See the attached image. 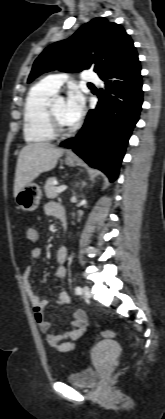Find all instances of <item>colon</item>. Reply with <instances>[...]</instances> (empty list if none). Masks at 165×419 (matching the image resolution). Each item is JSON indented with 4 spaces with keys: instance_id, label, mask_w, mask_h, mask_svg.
<instances>
[{
    "instance_id": "1",
    "label": "colon",
    "mask_w": 165,
    "mask_h": 419,
    "mask_svg": "<svg viewBox=\"0 0 165 419\" xmlns=\"http://www.w3.org/2000/svg\"><path fill=\"white\" fill-rule=\"evenodd\" d=\"M31 236L34 237L35 234L33 232H31ZM112 337H113V332L112 331H103L99 336L100 339H109V338H112Z\"/></svg>"
}]
</instances>
